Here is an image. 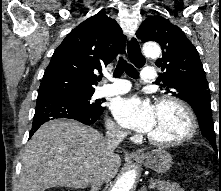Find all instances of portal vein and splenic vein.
<instances>
[{
    "instance_id": "portal-vein-and-splenic-vein-1",
    "label": "portal vein and splenic vein",
    "mask_w": 221,
    "mask_h": 191,
    "mask_svg": "<svg viewBox=\"0 0 221 191\" xmlns=\"http://www.w3.org/2000/svg\"><path fill=\"white\" fill-rule=\"evenodd\" d=\"M150 187H154V185L152 184V185H150Z\"/></svg>"
}]
</instances>
